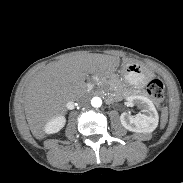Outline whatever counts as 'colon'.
Wrapping results in <instances>:
<instances>
[{
  "instance_id": "obj_1",
  "label": "colon",
  "mask_w": 183,
  "mask_h": 183,
  "mask_svg": "<svg viewBox=\"0 0 183 183\" xmlns=\"http://www.w3.org/2000/svg\"><path fill=\"white\" fill-rule=\"evenodd\" d=\"M148 94L162 107L164 101V86L160 80H152L147 86Z\"/></svg>"
}]
</instances>
